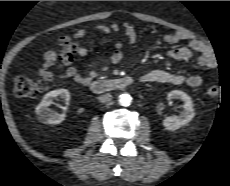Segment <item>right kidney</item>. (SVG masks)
I'll return each mask as SVG.
<instances>
[{"label": "right kidney", "mask_w": 230, "mask_h": 186, "mask_svg": "<svg viewBox=\"0 0 230 186\" xmlns=\"http://www.w3.org/2000/svg\"><path fill=\"white\" fill-rule=\"evenodd\" d=\"M70 100V93L66 89H56L44 95L43 100L35 108L38 119L47 124H59L65 120V113H57L49 108L54 99Z\"/></svg>", "instance_id": "1"}]
</instances>
